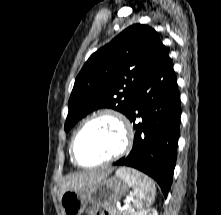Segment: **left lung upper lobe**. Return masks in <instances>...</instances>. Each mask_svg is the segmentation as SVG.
<instances>
[{"label": "left lung upper lobe", "instance_id": "obj_1", "mask_svg": "<svg viewBox=\"0 0 221 215\" xmlns=\"http://www.w3.org/2000/svg\"><path fill=\"white\" fill-rule=\"evenodd\" d=\"M162 45L153 28L134 24L93 53L76 77L65 131L99 108H112L127 116L131 101Z\"/></svg>", "mask_w": 221, "mask_h": 215}]
</instances>
